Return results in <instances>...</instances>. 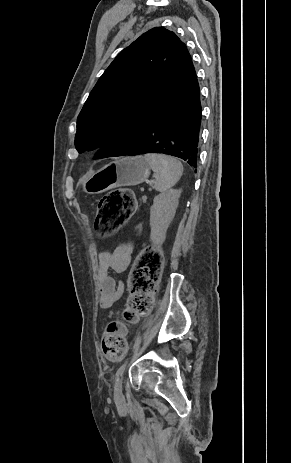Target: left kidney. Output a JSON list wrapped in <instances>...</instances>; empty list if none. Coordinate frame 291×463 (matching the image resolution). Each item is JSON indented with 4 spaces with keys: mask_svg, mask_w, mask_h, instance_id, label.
<instances>
[{
    "mask_svg": "<svg viewBox=\"0 0 291 463\" xmlns=\"http://www.w3.org/2000/svg\"><path fill=\"white\" fill-rule=\"evenodd\" d=\"M181 190L170 189L155 196L150 208V239L161 246L166 239L169 225L173 221L178 207Z\"/></svg>",
    "mask_w": 291,
    "mask_h": 463,
    "instance_id": "1",
    "label": "left kidney"
}]
</instances>
